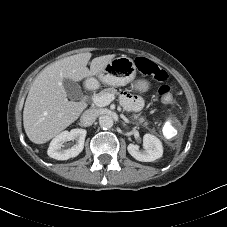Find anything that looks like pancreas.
I'll use <instances>...</instances> for the list:
<instances>
[{"label": "pancreas", "instance_id": "pancreas-1", "mask_svg": "<svg viewBox=\"0 0 227 227\" xmlns=\"http://www.w3.org/2000/svg\"><path fill=\"white\" fill-rule=\"evenodd\" d=\"M106 94L116 95V94H118V92L115 88H106V89L100 91L96 95L97 96H103V95H106ZM132 117H133V119L138 120L140 123H143L144 126H148V122L142 116H140V114H134Z\"/></svg>", "mask_w": 227, "mask_h": 227}]
</instances>
